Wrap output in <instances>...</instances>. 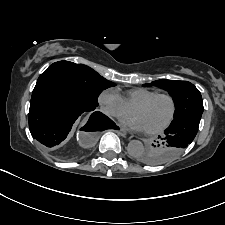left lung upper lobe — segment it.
Wrapping results in <instances>:
<instances>
[{
	"instance_id": "1",
	"label": "left lung upper lobe",
	"mask_w": 225,
	"mask_h": 225,
	"mask_svg": "<svg viewBox=\"0 0 225 225\" xmlns=\"http://www.w3.org/2000/svg\"><path fill=\"white\" fill-rule=\"evenodd\" d=\"M146 85L158 86L169 92L176 108L172 123L189 115H201L203 113L202 96L199 90L190 82L162 79ZM159 137V140L154 141L155 143L152 146H149L136 157L138 161L154 165L153 157L156 154L170 150L167 145L169 141H165L161 136Z\"/></svg>"
}]
</instances>
